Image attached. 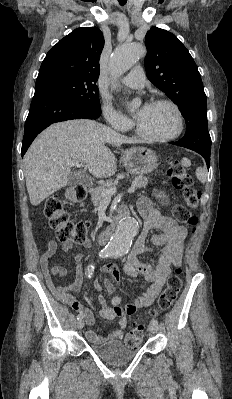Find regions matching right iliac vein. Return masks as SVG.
I'll return each instance as SVG.
<instances>
[{
  "label": "right iliac vein",
  "mask_w": 232,
  "mask_h": 399,
  "mask_svg": "<svg viewBox=\"0 0 232 399\" xmlns=\"http://www.w3.org/2000/svg\"><path fill=\"white\" fill-rule=\"evenodd\" d=\"M82 326H84V321H79V322H78L77 329H78V330H81V329H82Z\"/></svg>",
  "instance_id": "1"
}]
</instances>
